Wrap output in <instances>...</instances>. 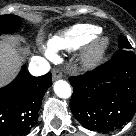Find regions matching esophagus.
I'll list each match as a JSON object with an SVG mask.
<instances>
[{
  "label": "esophagus",
  "instance_id": "1",
  "mask_svg": "<svg viewBox=\"0 0 136 136\" xmlns=\"http://www.w3.org/2000/svg\"><path fill=\"white\" fill-rule=\"evenodd\" d=\"M61 77H62V72L59 69L54 68L52 70V78H53V80L60 79Z\"/></svg>",
  "mask_w": 136,
  "mask_h": 136
}]
</instances>
